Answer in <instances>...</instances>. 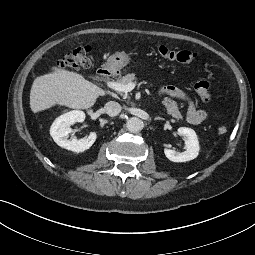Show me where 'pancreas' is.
<instances>
[{"label":"pancreas","mask_w":255,"mask_h":255,"mask_svg":"<svg viewBox=\"0 0 255 255\" xmlns=\"http://www.w3.org/2000/svg\"><path fill=\"white\" fill-rule=\"evenodd\" d=\"M136 81H137V78H136L135 74L131 73V74H127V75L123 76L117 82L125 85V84L131 83V82H136ZM120 95L123 96L124 98H129L127 93L120 92ZM162 104L165 107L164 110L169 115H171L173 118H175L177 120L183 119V116L177 107L176 101H174L173 99H171L169 97H165L162 101Z\"/></svg>","instance_id":"pancreas-1"}]
</instances>
